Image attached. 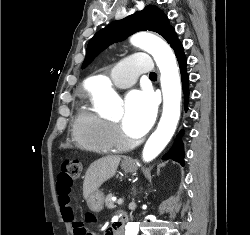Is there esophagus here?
Wrapping results in <instances>:
<instances>
[{
    "mask_svg": "<svg viewBox=\"0 0 250 235\" xmlns=\"http://www.w3.org/2000/svg\"><path fill=\"white\" fill-rule=\"evenodd\" d=\"M125 162L131 163V162H132V160H130V159H126V160H125Z\"/></svg>",
    "mask_w": 250,
    "mask_h": 235,
    "instance_id": "1",
    "label": "esophagus"
}]
</instances>
